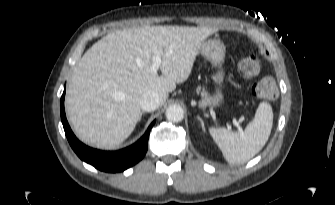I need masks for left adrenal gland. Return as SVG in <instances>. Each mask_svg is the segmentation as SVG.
Instances as JSON below:
<instances>
[{"label":"left adrenal gland","instance_id":"1","mask_svg":"<svg viewBox=\"0 0 335 205\" xmlns=\"http://www.w3.org/2000/svg\"><path fill=\"white\" fill-rule=\"evenodd\" d=\"M197 119L200 121L202 130L205 132L206 130H205V126H204V121H203V119H202L199 115H197Z\"/></svg>","mask_w":335,"mask_h":205}]
</instances>
